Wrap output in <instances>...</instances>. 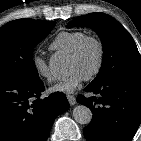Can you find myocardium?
Returning a JSON list of instances; mask_svg holds the SVG:
<instances>
[{
	"label": "myocardium",
	"instance_id": "myocardium-1",
	"mask_svg": "<svg viewBox=\"0 0 141 141\" xmlns=\"http://www.w3.org/2000/svg\"><path fill=\"white\" fill-rule=\"evenodd\" d=\"M90 43L95 44L97 47L98 61H97V64H96V67L94 68V70L85 77L86 81H90V80L95 79L103 69L104 62H105V48H104L103 42L98 37L86 36L77 44V46L74 48V50L69 54L70 58L76 59V58L80 57V55L84 51L85 47Z\"/></svg>",
	"mask_w": 141,
	"mask_h": 141
}]
</instances>
